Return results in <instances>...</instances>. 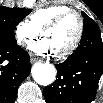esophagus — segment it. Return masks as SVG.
<instances>
[{
  "label": "esophagus",
  "mask_w": 103,
  "mask_h": 103,
  "mask_svg": "<svg viewBox=\"0 0 103 103\" xmlns=\"http://www.w3.org/2000/svg\"><path fill=\"white\" fill-rule=\"evenodd\" d=\"M30 60H31V63H35L39 61L38 58L33 55H31Z\"/></svg>",
  "instance_id": "esophagus-1"
}]
</instances>
